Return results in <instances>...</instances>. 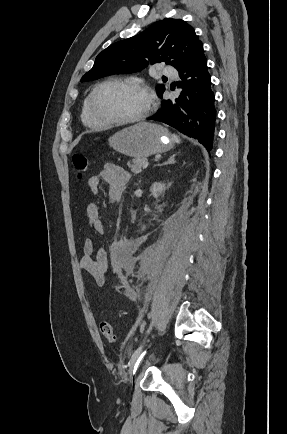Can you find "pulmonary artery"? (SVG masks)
I'll use <instances>...</instances> for the list:
<instances>
[{
	"instance_id": "e3ab8cb5",
	"label": "pulmonary artery",
	"mask_w": 287,
	"mask_h": 434,
	"mask_svg": "<svg viewBox=\"0 0 287 434\" xmlns=\"http://www.w3.org/2000/svg\"><path fill=\"white\" fill-rule=\"evenodd\" d=\"M162 73H163L165 76H168V77H176V76H177V71H176V69L173 68V67H171V66H164V67L162 68Z\"/></svg>"
}]
</instances>
